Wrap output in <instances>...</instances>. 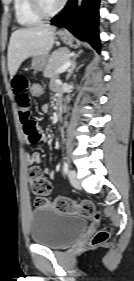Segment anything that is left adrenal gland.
<instances>
[{
    "label": "left adrenal gland",
    "instance_id": "1",
    "mask_svg": "<svg viewBox=\"0 0 134 281\" xmlns=\"http://www.w3.org/2000/svg\"><path fill=\"white\" fill-rule=\"evenodd\" d=\"M80 54H81V52L76 54L73 57V61H72L71 65H70V67L68 69V74H67L66 80H68L70 78V76L73 73L74 69H76V67H77L76 58L79 57Z\"/></svg>",
    "mask_w": 134,
    "mask_h": 281
}]
</instances>
